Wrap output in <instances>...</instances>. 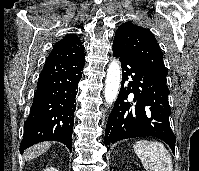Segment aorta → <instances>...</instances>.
Wrapping results in <instances>:
<instances>
[{"mask_svg": "<svg viewBox=\"0 0 199 171\" xmlns=\"http://www.w3.org/2000/svg\"><path fill=\"white\" fill-rule=\"evenodd\" d=\"M121 82V69L116 60H113L108 67L104 97L108 105L112 104L118 96Z\"/></svg>", "mask_w": 199, "mask_h": 171, "instance_id": "762f6f07", "label": "aorta"}]
</instances>
